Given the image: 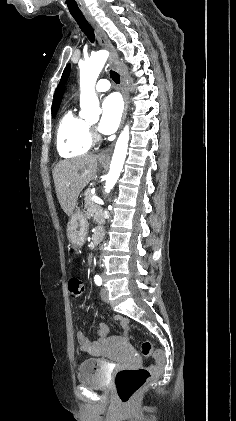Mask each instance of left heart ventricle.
Segmentation results:
<instances>
[{
	"instance_id": "b2bd125f",
	"label": "left heart ventricle",
	"mask_w": 236,
	"mask_h": 421,
	"mask_svg": "<svg viewBox=\"0 0 236 421\" xmlns=\"http://www.w3.org/2000/svg\"><path fill=\"white\" fill-rule=\"evenodd\" d=\"M96 122H90L91 125H95Z\"/></svg>"
}]
</instances>
